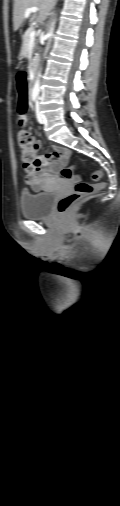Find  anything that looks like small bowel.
<instances>
[{"mask_svg":"<svg viewBox=\"0 0 120 506\" xmlns=\"http://www.w3.org/2000/svg\"><path fill=\"white\" fill-rule=\"evenodd\" d=\"M40 145V142L36 143L37 148ZM52 150L47 156H39L38 169L25 177V183L34 191L42 190L50 180L58 178L60 169L67 163L71 154V151L64 147H53ZM50 156L54 158L53 161L48 160Z\"/></svg>","mask_w":120,"mask_h":506,"instance_id":"c3829d8e","label":"small bowel"}]
</instances>
